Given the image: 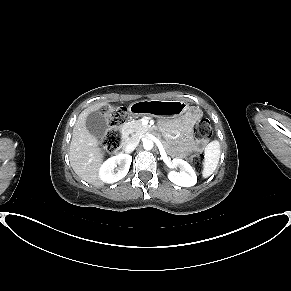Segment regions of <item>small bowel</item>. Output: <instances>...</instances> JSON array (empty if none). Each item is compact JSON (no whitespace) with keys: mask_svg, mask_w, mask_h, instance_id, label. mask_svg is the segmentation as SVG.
Masks as SVG:
<instances>
[{"mask_svg":"<svg viewBox=\"0 0 291 291\" xmlns=\"http://www.w3.org/2000/svg\"><path fill=\"white\" fill-rule=\"evenodd\" d=\"M200 116L199 109L192 107L184 117L165 123V127L177 136L172 152L174 156L182 158L196 147L192 137V124L197 122Z\"/></svg>","mask_w":291,"mask_h":291,"instance_id":"1","label":"small bowel"}]
</instances>
